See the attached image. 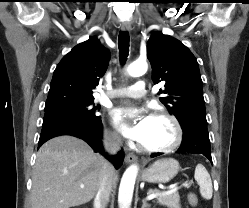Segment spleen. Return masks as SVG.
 Masks as SVG:
<instances>
[{
  "label": "spleen",
  "instance_id": "obj_1",
  "mask_svg": "<svg viewBox=\"0 0 249 208\" xmlns=\"http://www.w3.org/2000/svg\"><path fill=\"white\" fill-rule=\"evenodd\" d=\"M194 178L200 187V194L204 199L212 198V181L211 177L202 164H198L195 169Z\"/></svg>",
  "mask_w": 249,
  "mask_h": 208
}]
</instances>
